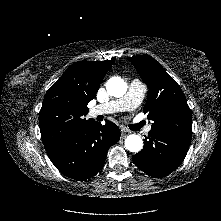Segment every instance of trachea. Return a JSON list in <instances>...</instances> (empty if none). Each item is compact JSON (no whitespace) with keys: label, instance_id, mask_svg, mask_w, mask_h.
I'll return each instance as SVG.
<instances>
[{"label":"trachea","instance_id":"obj_1","mask_svg":"<svg viewBox=\"0 0 221 221\" xmlns=\"http://www.w3.org/2000/svg\"><path fill=\"white\" fill-rule=\"evenodd\" d=\"M145 123L144 122H141L137 125L134 126L135 129H139L140 127H142Z\"/></svg>","mask_w":221,"mask_h":221}]
</instances>
